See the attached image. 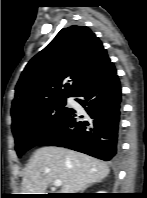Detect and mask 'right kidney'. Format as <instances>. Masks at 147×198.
Wrapping results in <instances>:
<instances>
[{
    "label": "right kidney",
    "mask_w": 147,
    "mask_h": 198,
    "mask_svg": "<svg viewBox=\"0 0 147 198\" xmlns=\"http://www.w3.org/2000/svg\"><path fill=\"white\" fill-rule=\"evenodd\" d=\"M98 193H104V191H99Z\"/></svg>",
    "instance_id": "1"
}]
</instances>
